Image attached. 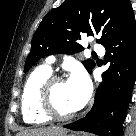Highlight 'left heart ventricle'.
<instances>
[{"label": "left heart ventricle", "mask_w": 136, "mask_h": 136, "mask_svg": "<svg viewBox=\"0 0 136 136\" xmlns=\"http://www.w3.org/2000/svg\"><path fill=\"white\" fill-rule=\"evenodd\" d=\"M53 104L55 109L61 114H68L76 111L74 107L67 82L55 85L53 89Z\"/></svg>", "instance_id": "left-heart-ventricle-1"}]
</instances>
